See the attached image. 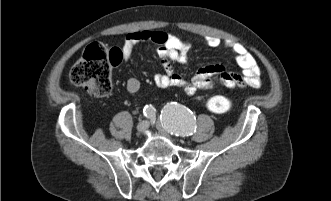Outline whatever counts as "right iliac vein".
Returning <instances> with one entry per match:
<instances>
[{"label": "right iliac vein", "mask_w": 331, "mask_h": 201, "mask_svg": "<svg viewBox=\"0 0 331 201\" xmlns=\"http://www.w3.org/2000/svg\"><path fill=\"white\" fill-rule=\"evenodd\" d=\"M148 127H149V123L147 121H142L138 124L137 130L138 132L143 133L147 130Z\"/></svg>", "instance_id": "obj_1"}]
</instances>
